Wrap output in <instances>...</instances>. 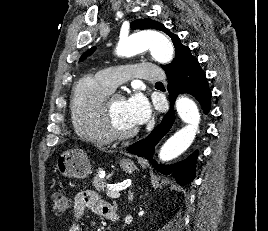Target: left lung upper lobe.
<instances>
[{"label":"left lung upper lobe","instance_id":"1","mask_svg":"<svg viewBox=\"0 0 268 231\" xmlns=\"http://www.w3.org/2000/svg\"><path fill=\"white\" fill-rule=\"evenodd\" d=\"M131 28L132 29H156L159 31H163L171 38L175 47V58L170 64L163 66V69L166 71V73L175 71L183 67L190 58L194 57L191 54L189 47L183 45L179 37L176 34L172 33L170 30H168L160 22L154 21L149 18L139 19L131 23ZM94 50L95 48L93 47L89 49L87 52H85L81 56L80 61H83L88 55H91L94 52Z\"/></svg>","mask_w":268,"mask_h":231}]
</instances>
